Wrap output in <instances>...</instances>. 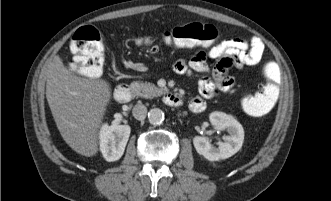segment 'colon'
<instances>
[{"instance_id":"1","label":"colon","mask_w":331,"mask_h":201,"mask_svg":"<svg viewBox=\"0 0 331 201\" xmlns=\"http://www.w3.org/2000/svg\"><path fill=\"white\" fill-rule=\"evenodd\" d=\"M217 29L210 24L190 23L164 31L160 37L139 36V46L155 49L158 43L177 47H212L218 40ZM74 53L72 68L78 74L88 77L99 76L104 67V44L98 30L92 26L81 27L71 40ZM266 83L257 92H244L241 104L251 116H263L269 113L279 96L282 83V69L274 60H268L263 66Z\"/></svg>"}]
</instances>
